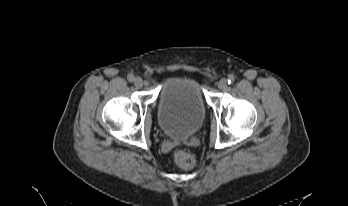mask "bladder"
I'll list each match as a JSON object with an SVG mask.
<instances>
[{"instance_id":"obj_1","label":"bladder","mask_w":348,"mask_h":206,"mask_svg":"<svg viewBox=\"0 0 348 206\" xmlns=\"http://www.w3.org/2000/svg\"><path fill=\"white\" fill-rule=\"evenodd\" d=\"M206 113L199 82L187 76L167 78L160 90L158 119L162 131L172 138H187L201 126Z\"/></svg>"}]
</instances>
